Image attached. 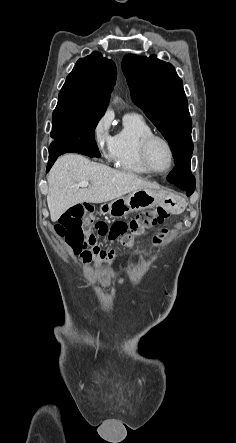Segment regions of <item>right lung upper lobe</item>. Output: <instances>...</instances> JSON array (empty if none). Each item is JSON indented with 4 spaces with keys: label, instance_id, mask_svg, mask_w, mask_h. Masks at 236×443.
<instances>
[{
    "label": "right lung upper lobe",
    "instance_id": "right-lung-upper-lobe-1",
    "mask_svg": "<svg viewBox=\"0 0 236 443\" xmlns=\"http://www.w3.org/2000/svg\"><path fill=\"white\" fill-rule=\"evenodd\" d=\"M116 77L115 63L99 52L79 59L59 93L57 107L104 112Z\"/></svg>",
    "mask_w": 236,
    "mask_h": 443
}]
</instances>
